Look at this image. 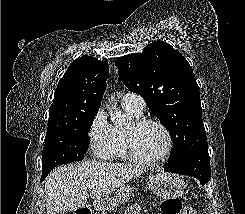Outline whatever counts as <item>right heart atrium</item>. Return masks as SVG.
I'll use <instances>...</instances> for the list:
<instances>
[{
	"label": "right heart atrium",
	"instance_id": "d8ad5b80",
	"mask_svg": "<svg viewBox=\"0 0 245 214\" xmlns=\"http://www.w3.org/2000/svg\"><path fill=\"white\" fill-rule=\"evenodd\" d=\"M88 138L90 148L97 158L102 160L112 158L115 145L114 127L109 123L104 110H99L92 118Z\"/></svg>",
	"mask_w": 245,
	"mask_h": 214
}]
</instances>
